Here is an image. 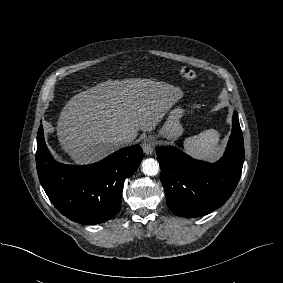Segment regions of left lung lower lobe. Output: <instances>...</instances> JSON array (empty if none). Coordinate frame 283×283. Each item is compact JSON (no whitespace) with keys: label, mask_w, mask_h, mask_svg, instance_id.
Masks as SVG:
<instances>
[{"label":"left lung lower lobe","mask_w":283,"mask_h":283,"mask_svg":"<svg viewBox=\"0 0 283 283\" xmlns=\"http://www.w3.org/2000/svg\"><path fill=\"white\" fill-rule=\"evenodd\" d=\"M167 205L177 216L200 217L223 205L241 176L244 142L237 112L224 156L216 163L195 160L173 146L156 148Z\"/></svg>","instance_id":"0a47b994"}]
</instances>
